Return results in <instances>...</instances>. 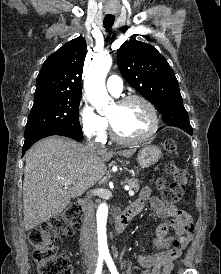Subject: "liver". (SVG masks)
<instances>
[{"mask_svg": "<svg viewBox=\"0 0 221 274\" xmlns=\"http://www.w3.org/2000/svg\"><path fill=\"white\" fill-rule=\"evenodd\" d=\"M135 150L117 154L131 157ZM115 153L52 136L34 144L26 154L23 182L25 229L59 215L71 198L81 195L106 173L105 162ZM72 180L74 183L65 185Z\"/></svg>", "mask_w": 221, "mask_h": 274, "instance_id": "obj_1", "label": "liver"}]
</instances>
